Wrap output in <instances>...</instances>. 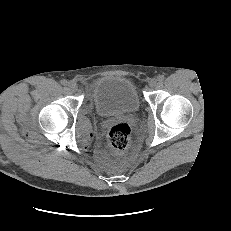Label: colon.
Instances as JSON below:
<instances>
[{"mask_svg": "<svg viewBox=\"0 0 231 231\" xmlns=\"http://www.w3.org/2000/svg\"><path fill=\"white\" fill-rule=\"evenodd\" d=\"M108 143L116 151L125 150L131 141V129L126 123L112 125L107 133Z\"/></svg>", "mask_w": 231, "mask_h": 231, "instance_id": "5ec220e1", "label": "colon"}]
</instances>
